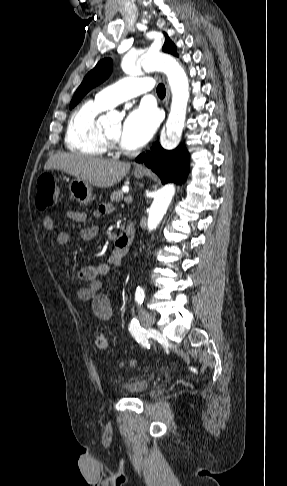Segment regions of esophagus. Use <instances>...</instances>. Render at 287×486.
<instances>
[{"label": "esophagus", "mask_w": 287, "mask_h": 486, "mask_svg": "<svg viewBox=\"0 0 287 486\" xmlns=\"http://www.w3.org/2000/svg\"><path fill=\"white\" fill-rule=\"evenodd\" d=\"M163 81L166 86V97H165V106L168 109V104H169V98H170V90H169V85H168V80L165 76H163ZM137 171H146L145 167L143 166H138L136 168Z\"/></svg>", "instance_id": "34e87169"}]
</instances>
